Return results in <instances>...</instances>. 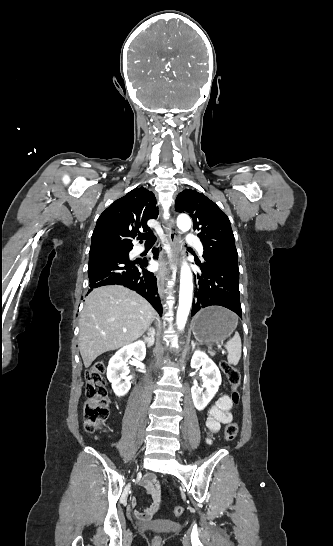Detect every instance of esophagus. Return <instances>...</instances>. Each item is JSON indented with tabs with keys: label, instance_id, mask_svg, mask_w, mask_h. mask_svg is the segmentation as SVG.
I'll use <instances>...</instances> for the list:
<instances>
[{
	"label": "esophagus",
	"instance_id": "obj_1",
	"mask_svg": "<svg viewBox=\"0 0 333 546\" xmlns=\"http://www.w3.org/2000/svg\"><path fill=\"white\" fill-rule=\"evenodd\" d=\"M167 237H168L169 245L171 247L170 253L168 254L167 262L171 265V263L178 262L179 251H180V233H179V230L176 228L173 220H171L169 223ZM166 265H167L166 261L161 260V269L159 273L157 274V283H158L159 291L162 294L165 291L164 282L167 278Z\"/></svg>",
	"mask_w": 333,
	"mask_h": 546
}]
</instances>
